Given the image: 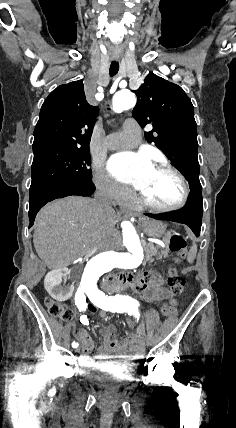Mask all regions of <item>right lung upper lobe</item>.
Here are the masks:
<instances>
[{
	"label": "right lung upper lobe",
	"mask_w": 236,
	"mask_h": 428,
	"mask_svg": "<svg viewBox=\"0 0 236 428\" xmlns=\"http://www.w3.org/2000/svg\"><path fill=\"white\" fill-rule=\"evenodd\" d=\"M98 113V107L86 101L82 80L57 87L41 107L33 150L89 146Z\"/></svg>",
	"instance_id": "right-lung-upper-lobe-1"
}]
</instances>
